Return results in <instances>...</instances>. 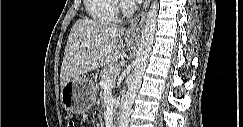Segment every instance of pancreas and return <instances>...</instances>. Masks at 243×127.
Instances as JSON below:
<instances>
[{"instance_id": "1", "label": "pancreas", "mask_w": 243, "mask_h": 127, "mask_svg": "<svg viewBox=\"0 0 243 127\" xmlns=\"http://www.w3.org/2000/svg\"><path fill=\"white\" fill-rule=\"evenodd\" d=\"M117 71V67L114 64H109L107 65L103 70H101L100 72V77H101V81H104L107 78H110L112 75H114ZM101 86V85H100Z\"/></svg>"}]
</instances>
